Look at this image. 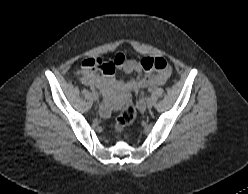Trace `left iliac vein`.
<instances>
[{"mask_svg":"<svg viewBox=\"0 0 248 194\" xmlns=\"http://www.w3.org/2000/svg\"><path fill=\"white\" fill-rule=\"evenodd\" d=\"M146 105L148 108H152V106L154 105V99L149 97L146 101Z\"/></svg>","mask_w":248,"mask_h":194,"instance_id":"4c4485c4","label":"left iliac vein"}]
</instances>
